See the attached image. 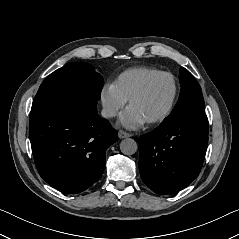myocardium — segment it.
<instances>
[{
  "instance_id": "1",
  "label": "myocardium",
  "mask_w": 239,
  "mask_h": 239,
  "mask_svg": "<svg viewBox=\"0 0 239 239\" xmlns=\"http://www.w3.org/2000/svg\"><path fill=\"white\" fill-rule=\"evenodd\" d=\"M161 77H167L171 80L172 82V95L170 98V101L168 103V105L166 106V108L158 115L146 120L147 123L149 124H153V123H157V122H161L164 119H166L169 114L171 113L175 101H176V97H177V92H178V87H177V82L175 80V78L172 76V74L168 73V72H158L154 75H152L151 77H149L128 99V105L130 106L136 99H138L139 97H141L149 88V86L158 78Z\"/></svg>"
}]
</instances>
